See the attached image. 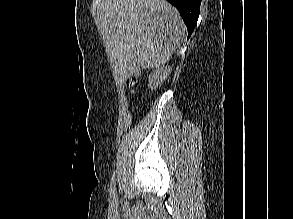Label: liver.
I'll use <instances>...</instances> for the list:
<instances>
[{"label": "liver", "instance_id": "6515ba94", "mask_svg": "<svg viewBox=\"0 0 293 219\" xmlns=\"http://www.w3.org/2000/svg\"><path fill=\"white\" fill-rule=\"evenodd\" d=\"M99 20L120 82L141 69L164 65L186 32L179 12L166 0H102Z\"/></svg>", "mask_w": 293, "mask_h": 219}]
</instances>
